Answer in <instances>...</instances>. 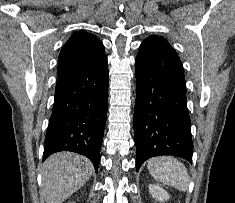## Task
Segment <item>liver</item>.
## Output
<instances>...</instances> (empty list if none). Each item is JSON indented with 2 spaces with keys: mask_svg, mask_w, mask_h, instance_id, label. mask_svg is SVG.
<instances>
[{
  "mask_svg": "<svg viewBox=\"0 0 235 203\" xmlns=\"http://www.w3.org/2000/svg\"><path fill=\"white\" fill-rule=\"evenodd\" d=\"M91 161L73 152L51 155L42 168V196L46 203H62L89 180Z\"/></svg>",
  "mask_w": 235,
  "mask_h": 203,
  "instance_id": "obj_1",
  "label": "liver"
}]
</instances>
